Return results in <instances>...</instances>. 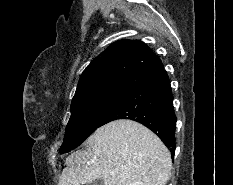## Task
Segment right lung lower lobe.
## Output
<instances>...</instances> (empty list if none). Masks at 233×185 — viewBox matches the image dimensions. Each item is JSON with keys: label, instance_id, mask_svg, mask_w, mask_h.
Instances as JSON below:
<instances>
[{"label": "right lung lower lobe", "instance_id": "obj_1", "mask_svg": "<svg viewBox=\"0 0 233 185\" xmlns=\"http://www.w3.org/2000/svg\"><path fill=\"white\" fill-rule=\"evenodd\" d=\"M117 119L142 123L163 141L174 157L176 116L166 71L155 74L130 90L102 120L100 126Z\"/></svg>", "mask_w": 233, "mask_h": 185}]
</instances>
